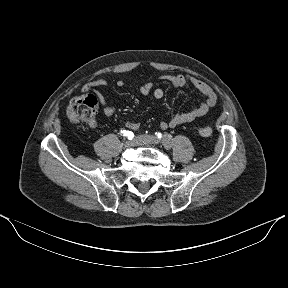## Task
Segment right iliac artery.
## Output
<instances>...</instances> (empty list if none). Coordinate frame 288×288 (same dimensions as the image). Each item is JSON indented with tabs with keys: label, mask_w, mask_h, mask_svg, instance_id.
Instances as JSON below:
<instances>
[{
	"label": "right iliac artery",
	"mask_w": 288,
	"mask_h": 288,
	"mask_svg": "<svg viewBox=\"0 0 288 288\" xmlns=\"http://www.w3.org/2000/svg\"><path fill=\"white\" fill-rule=\"evenodd\" d=\"M121 134L123 135V136H126V137H128L130 134H134L133 132H131V131H126V130H121Z\"/></svg>",
	"instance_id": "obj_1"
}]
</instances>
